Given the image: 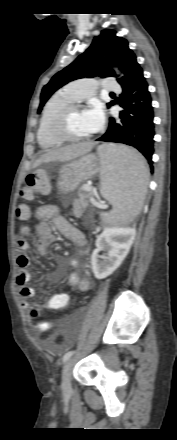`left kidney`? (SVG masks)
I'll return each mask as SVG.
<instances>
[{"mask_svg": "<svg viewBox=\"0 0 177 440\" xmlns=\"http://www.w3.org/2000/svg\"><path fill=\"white\" fill-rule=\"evenodd\" d=\"M135 237V229L129 227H106L96 240V249L91 256L92 270L97 279L112 274L125 259ZM107 250L104 261H99V252Z\"/></svg>", "mask_w": 177, "mask_h": 440, "instance_id": "5707ae66", "label": "left kidney"}]
</instances>
